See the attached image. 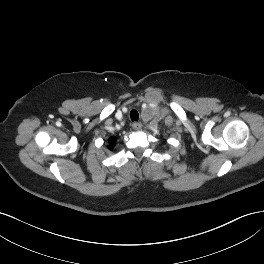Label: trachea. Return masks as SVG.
<instances>
[{
  "mask_svg": "<svg viewBox=\"0 0 264 264\" xmlns=\"http://www.w3.org/2000/svg\"><path fill=\"white\" fill-rule=\"evenodd\" d=\"M130 118H131L132 121H138L139 114H138V112L135 109L131 110Z\"/></svg>",
  "mask_w": 264,
  "mask_h": 264,
  "instance_id": "1",
  "label": "trachea"
}]
</instances>
